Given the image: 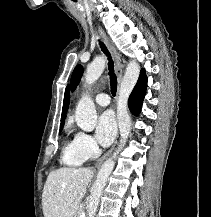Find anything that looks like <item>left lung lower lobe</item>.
Instances as JSON below:
<instances>
[{"label":"left lung lower lobe","mask_w":211,"mask_h":217,"mask_svg":"<svg viewBox=\"0 0 211 217\" xmlns=\"http://www.w3.org/2000/svg\"><path fill=\"white\" fill-rule=\"evenodd\" d=\"M147 88V77L145 70L143 69L140 73L139 79L129 97L128 106L130 111L134 115H138L141 111L142 101L146 94Z\"/></svg>","instance_id":"left-lung-lower-lobe-1"}]
</instances>
